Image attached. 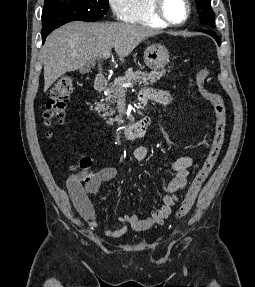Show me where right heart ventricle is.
I'll list each match as a JSON object with an SVG mask.
<instances>
[{"label":"right heart ventricle","instance_id":"e07e8e85","mask_svg":"<svg viewBox=\"0 0 255 287\" xmlns=\"http://www.w3.org/2000/svg\"><path fill=\"white\" fill-rule=\"evenodd\" d=\"M138 33H151V32H138ZM113 39V38H110ZM158 48H162V47H158Z\"/></svg>","mask_w":255,"mask_h":287}]
</instances>
